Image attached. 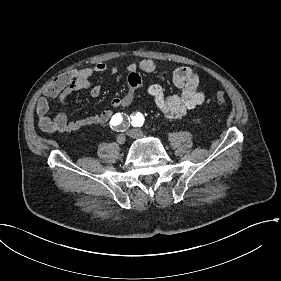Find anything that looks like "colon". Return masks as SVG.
I'll list each match as a JSON object with an SVG mask.
<instances>
[{
	"instance_id": "colon-1",
	"label": "colon",
	"mask_w": 281,
	"mask_h": 281,
	"mask_svg": "<svg viewBox=\"0 0 281 281\" xmlns=\"http://www.w3.org/2000/svg\"><path fill=\"white\" fill-rule=\"evenodd\" d=\"M215 102L217 104H224L227 101V96L223 93H218L215 98H214Z\"/></svg>"
}]
</instances>
